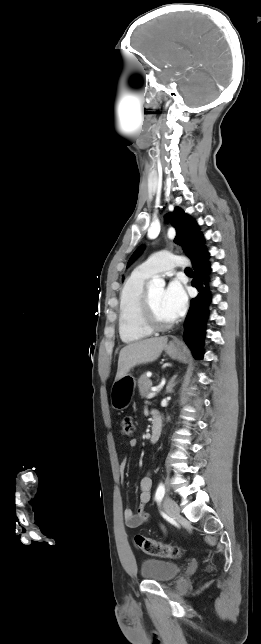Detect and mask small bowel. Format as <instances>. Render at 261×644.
Masks as SVG:
<instances>
[{
    "label": "small bowel",
    "mask_w": 261,
    "mask_h": 644,
    "mask_svg": "<svg viewBox=\"0 0 261 644\" xmlns=\"http://www.w3.org/2000/svg\"><path fill=\"white\" fill-rule=\"evenodd\" d=\"M136 445H137V440L132 439L130 441V446L135 447ZM126 463L127 461L126 459H124L119 466V471H120L122 481H123V474L126 467ZM151 487H152V478L150 474H147L140 480V483H139L140 494H139V507L137 511H134L131 508H126L124 510L125 522L129 528H133V529L138 528L146 523L147 515L144 512V507L150 501Z\"/></svg>",
    "instance_id": "obj_1"
}]
</instances>
